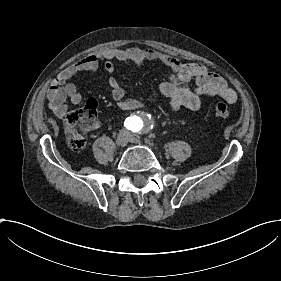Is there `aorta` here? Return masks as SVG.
<instances>
[{"label": "aorta", "instance_id": "aorta-1", "mask_svg": "<svg viewBox=\"0 0 281 281\" xmlns=\"http://www.w3.org/2000/svg\"><path fill=\"white\" fill-rule=\"evenodd\" d=\"M151 123H153V117L147 112H141L131 118V124L139 128H142L145 125H150Z\"/></svg>", "mask_w": 281, "mask_h": 281}]
</instances>
